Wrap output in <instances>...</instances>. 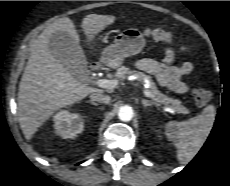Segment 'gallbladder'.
Segmentation results:
<instances>
[{"mask_svg": "<svg viewBox=\"0 0 230 186\" xmlns=\"http://www.w3.org/2000/svg\"><path fill=\"white\" fill-rule=\"evenodd\" d=\"M52 54L58 59L77 79L88 73L87 60L79 44L65 32H55L50 37L49 43Z\"/></svg>", "mask_w": 230, "mask_h": 186, "instance_id": "bac80fb5", "label": "gallbladder"}]
</instances>
